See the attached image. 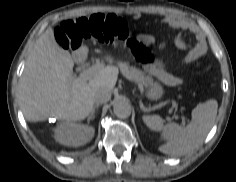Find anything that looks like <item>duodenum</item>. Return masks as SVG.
Instances as JSON below:
<instances>
[{"label":"duodenum","instance_id":"duodenum-1","mask_svg":"<svg viewBox=\"0 0 236 182\" xmlns=\"http://www.w3.org/2000/svg\"><path fill=\"white\" fill-rule=\"evenodd\" d=\"M84 54H85V52H84L83 50H81V51L78 53V55H77L78 59L80 60L81 57H82Z\"/></svg>","mask_w":236,"mask_h":182}]
</instances>
